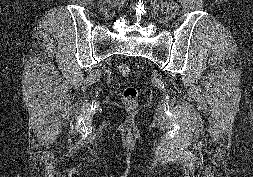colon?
Returning <instances> with one entry per match:
<instances>
[{"label":"colon","mask_w":253,"mask_h":177,"mask_svg":"<svg viewBox=\"0 0 253 177\" xmlns=\"http://www.w3.org/2000/svg\"><path fill=\"white\" fill-rule=\"evenodd\" d=\"M120 74L124 77H129L131 75V69L127 64H120L118 66ZM139 98V90L135 86H127L122 91V100L125 105L133 108L136 106Z\"/></svg>","instance_id":"obj_1"}]
</instances>
